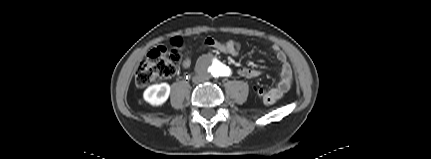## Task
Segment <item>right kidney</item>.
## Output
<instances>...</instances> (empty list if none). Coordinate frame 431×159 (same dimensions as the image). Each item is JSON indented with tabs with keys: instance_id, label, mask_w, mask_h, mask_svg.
Returning a JSON list of instances; mask_svg holds the SVG:
<instances>
[{
	"instance_id": "ca27d5eb",
	"label": "right kidney",
	"mask_w": 431,
	"mask_h": 159,
	"mask_svg": "<svg viewBox=\"0 0 431 159\" xmlns=\"http://www.w3.org/2000/svg\"><path fill=\"white\" fill-rule=\"evenodd\" d=\"M170 94V85L167 83L149 86L143 93L146 102L153 106H159L166 102Z\"/></svg>"
}]
</instances>
